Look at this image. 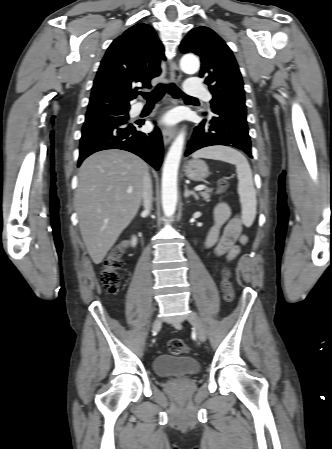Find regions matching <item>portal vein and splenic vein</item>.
<instances>
[{"label":"portal vein and splenic vein","instance_id":"1","mask_svg":"<svg viewBox=\"0 0 332 449\" xmlns=\"http://www.w3.org/2000/svg\"><path fill=\"white\" fill-rule=\"evenodd\" d=\"M204 189H205V185H198V186L195 187L196 191H201V190H204ZM127 192L131 193L132 191L128 190Z\"/></svg>","mask_w":332,"mask_h":449}]
</instances>
